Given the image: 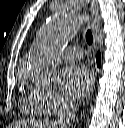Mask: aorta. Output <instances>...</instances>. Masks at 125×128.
<instances>
[{"instance_id": "762f6f07", "label": "aorta", "mask_w": 125, "mask_h": 128, "mask_svg": "<svg viewBox=\"0 0 125 128\" xmlns=\"http://www.w3.org/2000/svg\"><path fill=\"white\" fill-rule=\"evenodd\" d=\"M81 14L55 16L37 33L30 68L35 80L51 85L58 79L57 53L82 24Z\"/></svg>"}]
</instances>
